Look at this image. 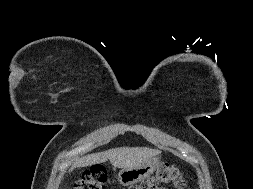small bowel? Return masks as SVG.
Segmentation results:
<instances>
[{"label": "small bowel", "instance_id": "c3829d8e", "mask_svg": "<svg viewBox=\"0 0 253 189\" xmlns=\"http://www.w3.org/2000/svg\"><path fill=\"white\" fill-rule=\"evenodd\" d=\"M159 189H166V188L160 187Z\"/></svg>", "mask_w": 253, "mask_h": 189}]
</instances>
